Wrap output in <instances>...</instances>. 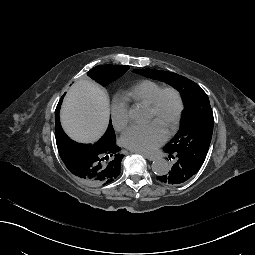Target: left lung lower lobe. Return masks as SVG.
I'll return each mask as SVG.
<instances>
[{
	"label": "left lung lower lobe",
	"mask_w": 255,
	"mask_h": 255,
	"mask_svg": "<svg viewBox=\"0 0 255 255\" xmlns=\"http://www.w3.org/2000/svg\"><path fill=\"white\" fill-rule=\"evenodd\" d=\"M172 160L175 162L172 166V170L165 175L159 176L157 178L159 183L182 184L198 173V169L192 163L184 159L181 154L175 155V157H172Z\"/></svg>",
	"instance_id": "obj_1"
}]
</instances>
